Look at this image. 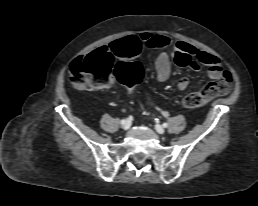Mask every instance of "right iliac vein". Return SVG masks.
<instances>
[{"label": "right iliac vein", "instance_id": "right-iliac-vein-1", "mask_svg": "<svg viewBox=\"0 0 258 206\" xmlns=\"http://www.w3.org/2000/svg\"><path fill=\"white\" fill-rule=\"evenodd\" d=\"M131 126V121L129 119L125 120L124 124H122V128L124 130H128Z\"/></svg>", "mask_w": 258, "mask_h": 206}]
</instances>
